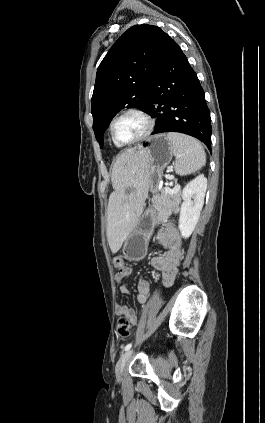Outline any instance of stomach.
<instances>
[{
  "label": "stomach",
  "instance_id": "1",
  "mask_svg": "<svg viewBox=\"0 0 265 423\" xmlns=\"http://www.w3.org/2000/svg\"><path fill=\"white\" fill-rule=\"evenodd\" d=\"M139 150L149 156V188L153 194L158 193L163 169L170 163L173 146L165 134L150 137ZM157 223V211L150 205L137 219L133 230L125 240L124 256L131 261L142 260L147 253V246Z\"/></svg>",
  "mask_w": 265,
  "mask_h": 423
}]
</instances>
